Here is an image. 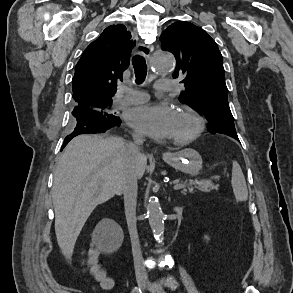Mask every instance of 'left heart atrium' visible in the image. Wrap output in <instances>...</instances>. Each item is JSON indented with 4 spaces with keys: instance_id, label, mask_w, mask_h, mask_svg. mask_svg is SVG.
<instances>
[{
    "instance_id": "1",
    "label": "left heart atrium",
    "mask_w": 293,
    "mask_h": 293,
    "mask_svg": "<svg viewBox=\"0 0 293 293\" xmlns=\"http://www.w3.org/2000/svg\"><path fill=\"white\" fill-rule=\"evenodd\" d=\"M125 117L127 123L141 134L155 139L171 137L175 113L165 103L135 106Z\"/></svg>"
}]
</instances>
